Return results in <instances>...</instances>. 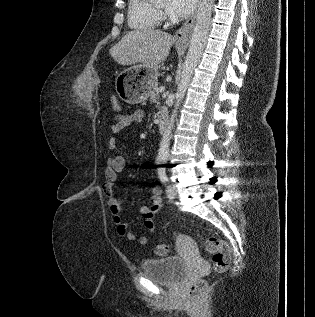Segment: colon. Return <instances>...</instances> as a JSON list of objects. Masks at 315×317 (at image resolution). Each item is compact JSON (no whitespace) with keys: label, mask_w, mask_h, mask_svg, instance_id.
Masks as SVG:
<instances>
[{"label":"colon","mask_w":315,"mask_h":317,"mask_svg":"<svg viewBox=\"0 0 315 317\" xmlns=\"http://www.w3.org/2000/svg\"><path fill=\"white\" fill-rule=\"evenodd\" d=\"M113 106L115 109H119V102L114 99ZM206 250L212 254V264L216 272H225L231 261V249L229 245L222 239L212 237L206 242ZM170 252V246L167 244H160L156 248V253L158 255L164 256ZM207 283L205 280H199L192 283L188 288V298L195 300L200 297V295L206 289Z\"/></svg>","instance_id":"obj_1"}]
</instances>
